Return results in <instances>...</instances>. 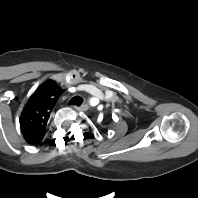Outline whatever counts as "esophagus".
Here are the masks:
<instances>
[{"label":"esophagus","mask_w":198,"mask_h":198,"mask_svg":"<svg viewBox=\"0 0 198 198\" xmlns=\"http://www.w3.org/2000/svg\"><path fill=\"white\" fill-rule=\"evenodd\" d=\"M78 111H86L89 109V106L87 104H83L81 106H73Z\"/></svg>","instance_id":"esophagus-1"}]
</instances>
